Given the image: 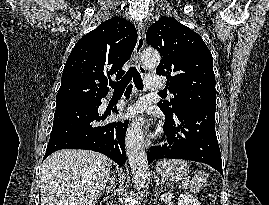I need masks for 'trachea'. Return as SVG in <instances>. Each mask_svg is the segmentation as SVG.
Here are the masks:
<instances>
[{
	"instance_id": "3493384b",
	"label": "trachea",
	"mask_w": 269,
	"mask_h": 205,
	"mask_svg": "<svg viewBox=\"0 0 269 205\" xmlns=\"http://www.w3.org/2000/svg\"><path fill=\"white\" fill-rule=\"evenodd\" d=\"M133 79L135 86L139 90H143V82L140 73L133 66L128 72L124 75V77L118 82H112L109 85L114 89L115 93L124 92L125 88L129 84V82ZM160 95H166L164 92H159Z\"/></svg>"
}]
</instances>
